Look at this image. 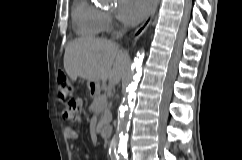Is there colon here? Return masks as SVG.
I'll return each instance as SVG.
<instances>
[{"label": "colon", "mask_w": 242, "mask_h": 160, "mask_svg": "<svg viewBox=\"0 0 242 160\" xmlns=\"http://www.w3.org/2000/svg\"><path fill=\"white\" fill-rule=\"evenodd\" d=\"M58 85L59 101L66 104V108L69 109L68 115L72 118L78 113L77 104L76 101L72 99V86L70 85L66 75L62 72L58 74Z\"/></svg>", "instance_id": "5ec220e1"}]
</instances>
